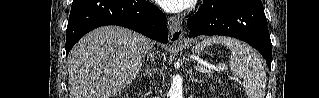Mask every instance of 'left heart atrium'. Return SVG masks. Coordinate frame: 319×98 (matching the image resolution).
<instances>
[{"label":"left heart atrium","instance_id":"obj_1","mask_svg":"<svg viewBox=\"0 0 319 98\" xmlns=\"http://www.w3.org/2000/svg\"><path fill=\"white\" fill-rule=\"evenodd\" d=\"M161 8L167 12H180L193 3V0H157Z\"/></svg>","mask_w":319,"mask_h":98}]
</instances>
